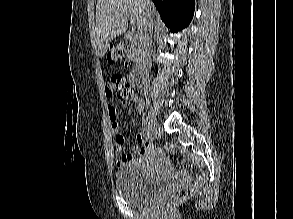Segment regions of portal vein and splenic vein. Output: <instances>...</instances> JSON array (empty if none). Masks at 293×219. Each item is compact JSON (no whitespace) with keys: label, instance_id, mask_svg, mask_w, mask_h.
I'll return each instance as SVG.
<instances>
[{"label":"portal vein and splenic vein","instance_id":"obj_1","mask_svg":"<svg viewBox=\"0 0 293 219\" xmlns=\"http://www.w3.org/2000/svg\"><path fill=\"white\" fill-rule=\"evenodd\" d=\"M127 18H131V16L129 14H126Z\"/></svg>","mask_w":293,"mask_h":219}]
</instances>
